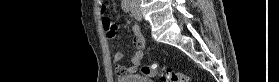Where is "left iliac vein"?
Listing matches in <instances>:
<instances>
[{
    "instance_id": "obj_1",
    "label": "left iliac vein",
    "mask_w": 279,
    "mask_h": 82,
    "mask_svg": "<svg viewBox=\"0 0 279 82\" xmlns=\"http://www.w3.org/2000/svg\"><path fill=\"white\" fill-rule=\"evenodd\" d=\"M132 16L136 19V20H141L142 16L140 13V10L138 8L133 7L131 10Z\"/></svg>"
}]
</instances>
